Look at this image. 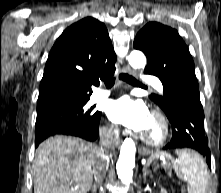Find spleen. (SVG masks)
<instances>
[{
    "instance_id": "3e777b00",
    "label": "spleen",
    "mask_w": 221,
    "mask_h": 193,
    "mask_svg": "<svg viewBox=\"0 0 221 193\" xmlns=\"http://www.w3.org/2000/svg\"><path fill=\"white\" fill-rule=\"evenodd\" d=\"M175 168L178 176L188 184V193H207L208 170L204 159L188 149L177 150Z\"/></svg>"
}]
</instances>
